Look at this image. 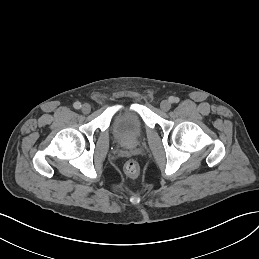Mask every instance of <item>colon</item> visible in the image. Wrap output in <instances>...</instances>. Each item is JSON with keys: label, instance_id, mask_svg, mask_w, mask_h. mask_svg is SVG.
Masks as SVG:
<instances>
[{"label": "colon", "instance_id": "5ec220e1", "mask_svg": "<svg viewBox=\"0 0 259 259\" xmlns=\"http://www.w3.org/2000/svg\"><path fill=\"white\" fill-rule=\"evenodd\" d=\"M125 173L131 178H137L140 174L139 164L135 160H129L124 166Z\"/></svg>", "mask_w": 259, "mask_h": 259}]
</instances>
